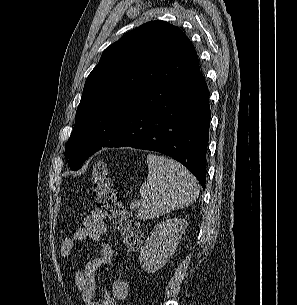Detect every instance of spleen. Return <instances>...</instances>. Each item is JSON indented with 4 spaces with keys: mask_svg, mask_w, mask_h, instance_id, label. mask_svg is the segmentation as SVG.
Listing matches in <instances>:
<instances>
[{
    "mask_svg": "<svg viewBox=\"0 0 297 305\" xmlns=\"http://www.w3.org/2000/svg\"><path fill=\"white\" fill-rule=\"evenodd\" d=\"M147 164L149 173L139 191L143 202L137 218H157L172 210L189 206L197 200L198 181L179 162L149 154Z\"/></svg>",
    "mask_w": 297,
    "mask_h": 305,
    "instance_id": "3e777b00",
    "label": "spleen"
}]
</instances>
